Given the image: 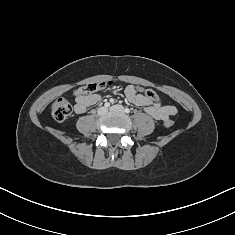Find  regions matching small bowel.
Wrapping results in <instances>:
<instances>
[{
	"label": "small bowel",
	"instance_id": "small-bowel-1",
	"mask_svg": "<svg viewBox=\"0 0 235 235\" xmlns=\"http://www.w3.org/2000/svg\"><path fill=\"white\" fill-rule=\"evenodd\" d=\"M125 96L134 105L144 107L145 111L156 120L167 121L177 113L176 107L150 101L139 92L138 88L132 85L125 89ZM100 98L101 96L97 93L77 95L74 106L75 112L78 114L84 113L88 107L96 104Z\"/></svg>",
	"mask_w": 235,
	"mask_h": 235
}]
</instances>
